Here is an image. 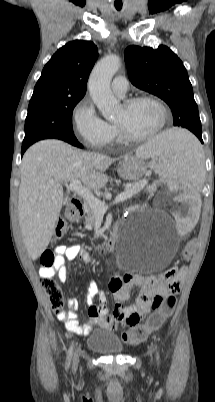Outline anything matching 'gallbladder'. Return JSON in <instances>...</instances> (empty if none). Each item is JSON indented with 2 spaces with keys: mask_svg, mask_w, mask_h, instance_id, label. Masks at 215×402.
Masks as SVG:
<instances>
[{
  "mask_svg": "<svg viewBox=\"0 0 215 402\" xmlns=\"http://www.w3.org/2000/svg\"><path fill=\"white\" fill-rule=\"evenodd\" d=\"M68 201H69L68 198H65V199H64V202H65V203H67Z\"/></svg>",
  "mask_w": 215,
  "mask_h": 402,
  "instance_id": "bac80fb5",
  "label": "gallbladder"
}]
</instances>
